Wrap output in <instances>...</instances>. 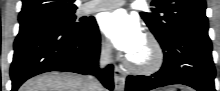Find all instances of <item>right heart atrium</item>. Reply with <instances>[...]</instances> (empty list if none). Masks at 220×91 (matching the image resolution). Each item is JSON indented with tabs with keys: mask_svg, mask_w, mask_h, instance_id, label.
Instances as JSON below:
<instances>
[{
	"mask_svg": "<svg viewBox=\"0 0 220 91\" xmlns=\"http://www.w3.org/2000/svg\"><path fill=\"white\" fill-rule=\"evenodd\" d=\"M100 50L103 57H109L111 55V44L108 40L102 39L100 43Z\"/></svg>",
	"mask_w": 220,
	"mask_h": 91,
	"instance_id": "d8ad5b80",
	"label": "right heart atrium"
}]
</instances>
